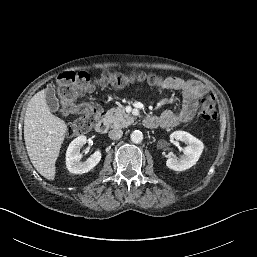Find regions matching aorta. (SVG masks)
I'll return each instance as SVG.
<instances>
[{"instance_id": "1", "label": "aorta", "mask_w": 257, "mask_h": 257, "mask_svg": "<svg viewBox=\"0 0 257 257\" xmlns=\"http://www.w3.org/2000/svg\"><path fill=\"white\" fill-rule=\"evenodd\" d=\"M130 139L133 143H141L143 140V134L139 130H135L131 133Z\"/></svg>"}]
</instances>
